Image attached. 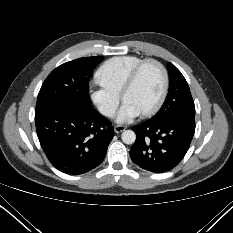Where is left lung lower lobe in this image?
Wrapping results in <instances>:
<instances>
[{
    "mask_svg": "<svg viewBox=\"0 0 233 233\" xmlns=\"http://www.w3.org/2000/svg\"><path fill=\"white\" fill-rule=\"evenodd\" d=\"M136 141L130 149L139 167L162 173L173 169L185 156L195 132V115L151 119L133 126Z\"/></svg>",
    "mask_w": 233,
    "mask_h": 233,
    "instance_id": "1",
    "label": "left lung lower lobe"
}]
</instances>
